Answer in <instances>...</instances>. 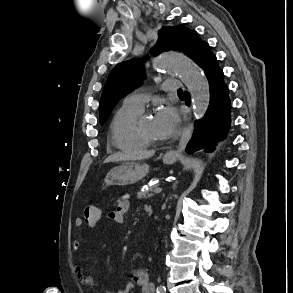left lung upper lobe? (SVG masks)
<instances>
[{
  "instance_id": "1",
  "label": "left lung upper lobe",
  "mask_w": 293,
  "mask_h": 293,
  "mask_svg": "<svg viewBox=\"0 0 293 293\" xmlns=\"http://www.w3.org/2000/svg\"><path fill=\"white\" fill-rule=\"evenodd\" d=\"M204 44L205 42L200 40L196 31L183 25L164 26L159 30V40L152 52L157 55L164 51L175 50L183 52L196 61ZM144 78L142 63L139 60L125 61L112 70L100 99L99 120L101 124L107 120L116 103L126 93L141 86Z\"/></svg>"
}]
</instances>
